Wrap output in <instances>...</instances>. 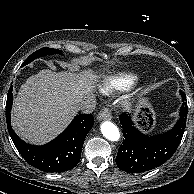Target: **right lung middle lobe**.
I'll return each mask as SVG.
<instances>
[{"mask_svg":"<svg viewBox=\"0 0 194 194\" xmlns=\"http://www.w3.org/2000/svg\"><path fill=\"white\" fill-rule=\"evenodd\" d=\"M61 50H57V49H52V48H48V47H44L41 48L37 51H35L33 54H31L22 64V66L29 64L30 62H32L34 59L40 57V56H45L48 54H59L61 53Z\"/></svg>","mask_w":194,"mask_h":194,"instance_id":"right-lung-middle-lobe-1","label":"right lung middle lobe"}]
</instances>
